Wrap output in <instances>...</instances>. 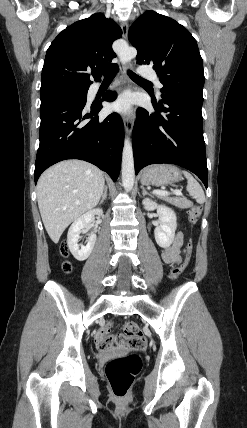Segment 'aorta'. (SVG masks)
Returning <instances> with one entry per match:
<instances>
[{"label":"aorta","mask_w":247,"mask_h":428,"mask_svg":"<svg viewBox=\"0 0 247 428\" xmlns=\"http://www.w3.org/2000/svg\"><path fill=\"white\" fill-rule=\"evenodd\" d=\"M137 52L134 48L124 44L118 49V56L122 64H126L131 61ZM135 180V169H134V157L133 148L130 140L127 138L124 141L123 153H122V184L126 191H131L134 186Z\"/></svg>","instance_id":"1"}]
</instances>
